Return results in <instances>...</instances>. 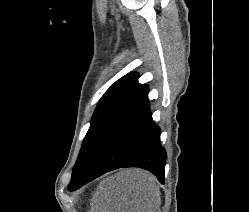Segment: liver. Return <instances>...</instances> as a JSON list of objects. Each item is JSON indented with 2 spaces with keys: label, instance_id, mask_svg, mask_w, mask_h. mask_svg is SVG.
I'll use <instances>...</instances> for the list:
<instances>
[{
  "label": "liver",
  "instance_id": "liver-1",
  "mask_svg": "<svg viewBox=\"0 0 249 212\" xmlns=\"http://www.w3.org/2000/svg\"><path fill=\"white\" fill-rule=\"evenodd\" d=\"M91 206L90 212H159L161 198L152 174L127 168L102 180Z\"/></svg>",
  "mask_w": 249,
  "mask_h": 212
}]
</instances>
